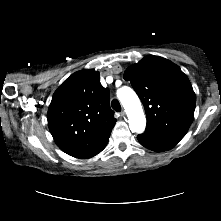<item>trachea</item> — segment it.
I'll return each instance as SVG.
<instances>
[{
	"label": "trachea",
	"instance_id": "1",
	"mask_svg": "<svg viewBox=\"0 0 221 221\" xmlns=\"http://www.w3.org/2000/svg\"><path fill=\"white\" fill-rule=\"evenodd\" d=\"M111 106L112 108L117 111V112H120L121 111V105L119 103L118 100L114 99L112 102H111Z\"/></svg>",
	"mask_w": 221,
	"mask_h": 221
}]
</instances>
